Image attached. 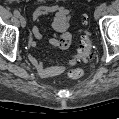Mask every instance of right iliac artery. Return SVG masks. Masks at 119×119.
Wrapping results in <instances>:
<instances>
[{
  "mask_svg": "<svg viewBox=\"0 0 119 119\" xmlns=\"http://www.w3.org/2000/svg\"><path fill=\"white\" fill-rule=\"evenodd\" d=\"M14 15H15L16 17H19V16H20V12H19L18 10H14Z\"/></svg>",
  "mask_w": 119,
  "mask_h": 119,
  "instance_id": "obj_1",
  "label": "right iliac artery"
}]
</instances>
